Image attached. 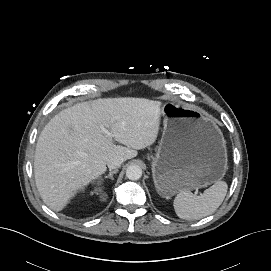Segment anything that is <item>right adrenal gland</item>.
<instances>
[{
  "label": "right adrenal gland",
  "instance_id": "right-adrenal-gland-1",
  "mask_svg": "<svg viewBox=\"0 0 271 271\" xmlns=\"http://www.w3.org/2000/svg\"><path fill=\"white\" fill-rule=\"evenodd\" d=\"M118 172V169H115L113 171H110L109 174L107 176H105V178H110L111 180H113V174L117 173Z\"/></svg>",
  "mask_w": 271,
  "mask_h": 271
}]
</instances>
